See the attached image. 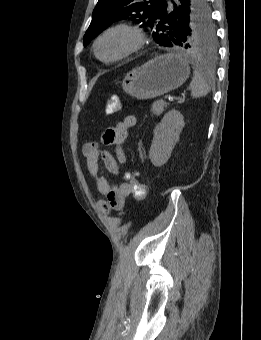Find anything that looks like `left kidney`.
I'll return each mask as SVG.
<instances>
[{
    "instance_id": "5707ae66",
    "label": "left kidney",
    "mask_w": 261,
    "mask_h": 340,
    "mask_svg": "<svg viewBox=\"0 0 261 340\" xmlns=\"http://www.w3.org/2000/svg\"><path fill=\"white\" fill-rule=\"evenodd\" d=\"M185 126L183 115L177 110L166 113L154 131L149 158L156 167L164 165L171 156Z\"/></svg>"
}]
</instances>
